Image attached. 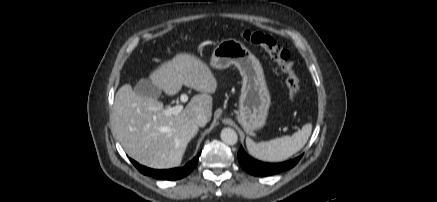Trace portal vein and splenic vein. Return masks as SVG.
<instances>
[{
    "label": "portal vein and splenic vein",
    "mask_w": 437,
    "mask_h": 202,
    "mask_svg": "<svg viewBox=\"0 0 437 202\" xmlns=\"http://www.w3.org/2000/svg\"><path fill=\"white\" fill-rule=\"evenodd\" d=\"M181 102L185 103L188 101V96L186 94H181L180 96ZM183 110V105L178 104L174 107L164 109L163 113L165 116L177 115Z\"/></svg>",
    "instance_id": "obj_1"
}]
</instances>
